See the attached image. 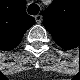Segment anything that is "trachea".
<instances>
[{
  "label": "trachea",
  "instance_id": "3493384b",
  "mask_svg": "<svg viewBox=\"0 0 80 80\" xmlns=\"http://www.w3.org/2000/svg\"><path fill=\"white\" fill-rule=\"evenodd\" d=\"M27 11L30 15H36L40 11V8L37 4H30Z\"/></svg>",
  "mask_w": 80,
  "mask_h": 80
}]
</instances>
